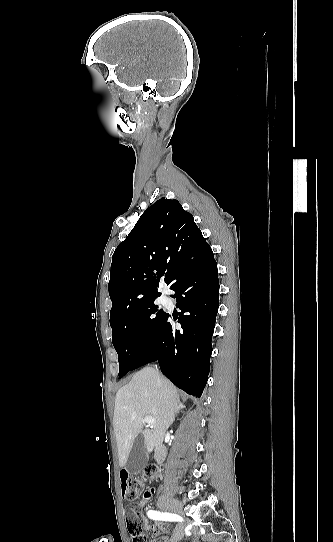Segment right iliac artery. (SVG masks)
Segmentation results:
<instances>
[{"instance_id": "82829eb1", "label": "right iliac artery", "mask_w": 333, "mask_h": 542, "mask_svg": "<svg viewBox=\"0 0 333 542\" xmlns=\"http://www.w3.org/2000/svg\"><path fill=\"white\" fill-rule=\"evenodd\" d=\"M147 515L149 518L154 520H162V521H182V517L171 514V513H161L159 511L150 510L147 512Z\"/></svg>"}]
</instances>
